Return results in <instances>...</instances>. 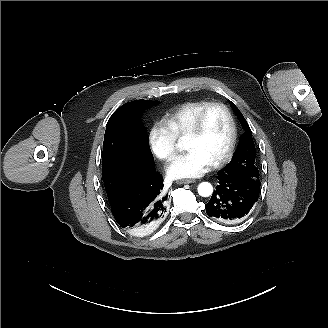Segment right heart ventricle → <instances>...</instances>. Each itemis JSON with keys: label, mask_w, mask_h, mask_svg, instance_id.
Instances as JSON below:
<instances>
[{"label": "right heart ventricle", "mask_w": 328, "mask_h": 328, "mask_svg": "<svg viewBox=\"0 0 328 328\" xmlns=\"http://www.w3.org/2000/svg\"><path fill=\"white\" fill-rule=\"evenodd\" d=\"M209 103L208 101L187 102L166 112L161 117V122L166 126L175 140H183L196 116Z\"/></svg>", "instance_id": "right-heart-ventricle-1"}]
</instances>
